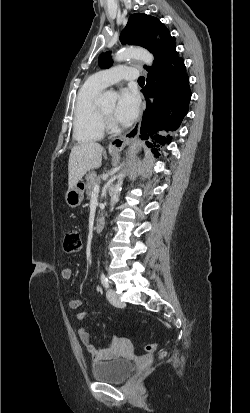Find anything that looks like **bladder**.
Returning a JSON list of instances; mask_svg holds the SVG:
<instances>
[{
	"instance_id": "1",
	"label": "bladder",
	"mask_w": 250,
	"mask_h": 413,
	"mask_svg": "<svg viewBox=\"0 0 250 413\" xmlns=\"http://www.w3.org/2000/svg\"><path fill=\"white\" fill-rule=\"evenodd\" d=\"M135 369L134 363L128 358H117L111 361L92 364V375L97 381L107 383H122L129 378Z\"/></svg>"
}]
</instances>
